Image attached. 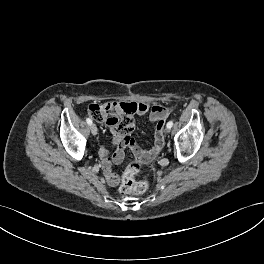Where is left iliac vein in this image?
I'll return each instance as SVG.
<instances>
[{"label":"left iliac vein","mask_w":264,"mask_h":264,"mask_svg":"<svg viewBox=\"0 0 264 264\" xmlns=\"http://www.w3.org/2000/svg\"><path fill=\"white\" fill-rule=\"evenodd\" d=\"M166 131H167V132H170V128H167Z\"/></svg>","instance_id":"left-iliac-vein-1"}]
</instances>
